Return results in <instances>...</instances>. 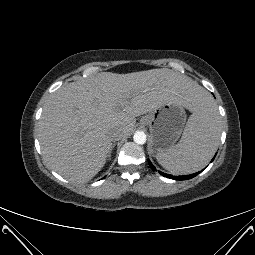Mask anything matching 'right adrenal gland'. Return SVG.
Segmentation results:
<instances>
[{"label":"right adrenal gland","mask_w":255,"mask_h":255,"mask_svg":"<svg viewBox=\"0 0 255 255\" xmlns=\"http://www.w3.org/2000/svg\"><path fill=\"white\" fill-rule=\"evenodd\" d=\"M113 147H114V146H113ZM113 147H112V148H113ZM111 152H112V150H111V151L109 152V154H108V157H109V158L111 157Z\"/></svg>","instance_id":"2a0ac1e0"}]
</instances>
